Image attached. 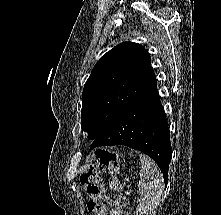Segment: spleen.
I'll return each mask as SVG.
<instances>
[{
    "mask_svg": "<svg viewBox=\"0 0 221 215\" xmlns=\"http://www.w3.org/2000/svg\"><path fill=\"white\" fill-rule=\"evenodd\" d=\"M141 170L139 180L140 203L137 215H155L164 191L163 176L157 164L145 154H140Z\"/></svg>",
    "mask_w": 221,
    "mask_h": 215,
    "instance_id": "spleen-1",
    "label": "spleen"
}]
</instances>
